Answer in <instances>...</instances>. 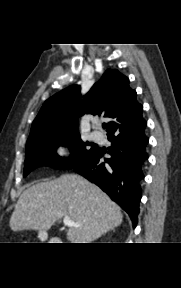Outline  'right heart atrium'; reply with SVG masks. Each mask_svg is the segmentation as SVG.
<instances>
[{"mask_svg":"<svg viewBox=\"0 0 181 288\" xmlns=\"http://www.w3.org/2000/svg\"><path fill=\"white\" fill-rule=\"evenodd\" d=\"M54 151L58 157L64 159V158L68 157V155H69V145L67 142L61 141V142L57 143Z\"/></svg>","mask_w":181,"mask_h":288,"instance_id":"obj_1","label":"right heart atrium"}]
</instances>
